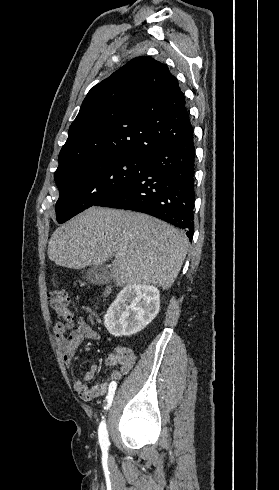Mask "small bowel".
Listing matches in <instances>:
<instances>
[{"mask_svg": "<svg viewBox=\"0 0 279 490\" xmlns=\"http://www.w3.org/2000/svg\"><path fill=\"white\" fill-rule=\"evenodd\" d=\"M53 335L61 348L64 362L69 368L73 366L74 355L85 340L97 341L100 339L99 333L82 317L78 318L75 323L55 321ZM135 362L134 352L127 347L118 345L107 358L108 365L117 366V369L112 371L105 381L92 387L88 386L98 371V365L92 364L83 377L74 380L73 388L82 399L99 398L105 395L109 389L115 388L120 379L130 372Z\"/></svg>", "mask_w": 279, "mask_h": 490, "instance_id": "obj_1", "label": "small bowel"}]
</instances>
